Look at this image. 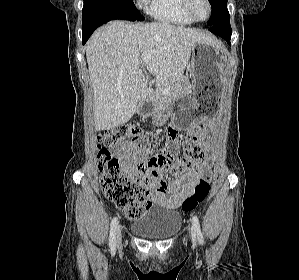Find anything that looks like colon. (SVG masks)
<instances>
[{"instance_id": "1", "label": "colon", "mask_w": 299, "mask_h": 280, "mask_svg": "<svg viewBox=\"0 0 299 280\" xmlns=\"http://www.w3.org/2000/svg\"><path fill=\"white\" fill-rule=\"evenodd\" d=\"M180 134L176 128L168 131L166 147L154 153L148 160V166L158 165L174 177L192 170L202 157L198 138L193 131H188L183 141L184 154H178ZM124 143H133L139 149L148 148V134L139 126L121 125L104 131L98 138V165L100 186L106 197L130 220L142 218L148 210V192L140 179L135 178L129 163L121 161L114 150ZM144 170L146 165L139 164ZM209 181L201 179L194 186L193 193L182 203L183 211H192L203 202L208 193Z\"/></svg>"}]
</instances>
